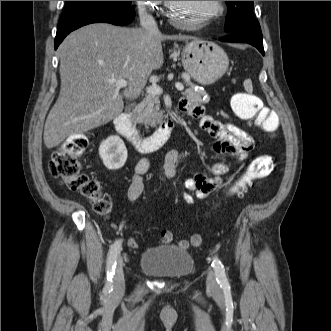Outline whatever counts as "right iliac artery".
Listing matches in <instances>:
<instances>
[{"label": "right iliac artery", "instance_id": "obj_1", "mask_svg": "<svg viewBox=\"0 0 331 331\" xmlns=\"http://www.w3.org/2000/svg\"><path fill=\"white\" fill-rule=\"evenodd\" d=\"M121 243H122L121 239L116 240L113 243V245L110 248V252H109V255H108V259H107V266H106V268H107V273H106L107 282H106L105 289L109 292L112 291V289H113V275L115 273V266H116L117 256H118V253L121 250Z\"/></svg>", "mask_w": 331, "mask_h": 331}]
</instances>
